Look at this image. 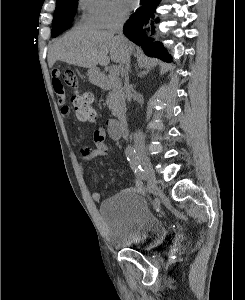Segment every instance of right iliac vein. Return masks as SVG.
Masks as SVG:
<instances>
[{"label": "right iliac vein", "mask_w": 245, "mask_h": 300, "mask_svg": "<svg viewBox=\"0 0 245 300\" xmlns=\"http://www.w3.org/2000/svg\"><path fill=\"white\" fill-rule=\"evenodd\" d=\"M137 158H138V161L143 165V167L145 169L146 177H148V176L151 177V179H152L151 182H153L154 186H156V188H157L156 177H155L154 170H153V167H152L149 157L147 156V154L144 151L139 150L137 153Z\"/></svg>", "instance_id": "right-iliac-vein-1"}]
</instances>
